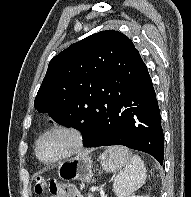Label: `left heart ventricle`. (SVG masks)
Wrapping results in <instances>:
<instances>
[{
	"instance_id": "b2bd125f",
	"label": "left heart ventricle",
	"mask_w": 191,
	"mask_h": 197,
	"mask_svg": "<svg viewBox=\"0 0 191 197\" xmlns=\"http://www.w3.org/2000/svg\"><path fill=\"white\" fill-rule=\"evenodd\" d=\"M70 146V139L63 133H52L40 143V155L45 160L54 159L63 154Z\"/></svg>"
}]
</instances>
